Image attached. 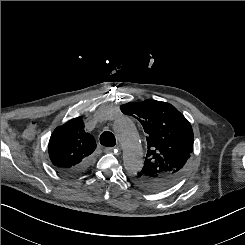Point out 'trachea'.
<instances>
[{
	"label": "trachea",
	"mask_w": 245,
	"mask_h": 245,
	"mask_svg": "<svg viewBox=\"0 0 245 245\" xmlns=\"http://www.w3.org/2000/svg\"><path fill=\"white\" fill-rule=\"evenodd\" d=\"M100 143L107 147H113L116 144V139L113 133L105 131L100 136Z\"/></svg>",
	"instance_id": "1"
}]
</instances>
